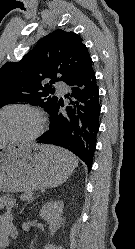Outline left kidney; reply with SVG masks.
Returning <instances> with one entry per match:
<instances>
[{
    "label": "left kidney",
    "mask_w": 135,
    "mask_h": 249,
    "mask_svg": "<svg viewBox=\"0 0 135 249\" xmlns=\"http://www.w3.org/2000/svg\"><path fill=\"white\" fill-rule=\"evenodd\" d=\"M64 204L61 201L47 202L40 210V216L42 219L48 222L51 235H53L57 229H59L63 220Z\"/></svg>",
    "instance_id": "5707ae66"
}]
</instances>
